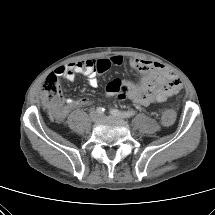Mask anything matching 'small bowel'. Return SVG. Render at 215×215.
I'll use <instances>...</instances> for the list:
<instances>
[{"mask_svg": "<svg viewBox=\"0 0 215 215\" xmlns=\"http://www.w3.org/2000/svg\"><path fill=\"white\" fill-rule=\"evenodd\" d=\"M124 59L120 55H114L107 59L82 60L58 67L54 74L62 76L68 81H74L77 74L87 76L91 87L96 88L99 84L98 75L104 73L111 66H119ZM129 65L142 74L138 83H130L120 79L110 81L106 86L107 96H117L119 99H130L141 106L165 101L170 95L178 92L181 81L164 65L141 58L129 59ZM92 103L89 98L66 99V106L58 118H63L67 111L75 107H85Z\"/></svg>", "mask_w": 215, "mask_h": 215, "instance_id": "small-bowel-1", "label": "small bowel"}]
</instances>
